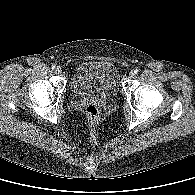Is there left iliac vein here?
Instances as JSON below:
<instances>
[{
  "label": "left iliac vein",
  "mask_w": 195,
  "mask_h": 195,
  "mask_svg": "<svg viewBox=\"0 0 195 195\" xmlns=\"http://www.w3.org/2000/svg\"><path fill=\"white\" fill-rule=\"evenodd\" d=\"M134 75H135V73H134L133 71H131V72L129 73V77H130V78L134 77Z\"/></svg>",
  "instance_id": "1"
}]
</instances>
